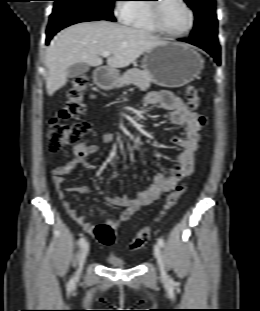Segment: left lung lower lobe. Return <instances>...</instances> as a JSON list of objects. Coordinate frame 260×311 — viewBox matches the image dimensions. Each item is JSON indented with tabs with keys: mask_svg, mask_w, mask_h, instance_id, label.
Here are the masks:
<instances>
[{
	"mask_svg": "<svg viewBox=\"0 0 260 311\" xmlns=\"http://www.w3.org/2000/svg\"><path fill=\"white\" fill-rule=\"evenodd\" d=\"M187 43L196 45L202 49H204L205 51H207L216 61V63L218 65L221 64L220 61V46L219 44H212V43H208V42H204V41H197V40H183Z\"/></svg>",
	"mask_w": 260,
	"mask_h": 311,
	"instance_id": "1",
	"label": "left lung lower lobe"
}]
</instances>
